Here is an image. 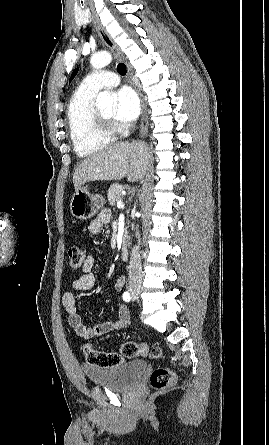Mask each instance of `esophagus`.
Here are the masks:
<instances>
[{
  "mask_svg": "<svg viewBox=\"0 0 269 445\" xmlns=\"http://www.w3.org/2000/svg\"><path fill=\"white\" fill-rule=\"evenodd\" d=\"M93 24H94V27L97 30L98 34L104 41V43L109 47V49L114 53V55L120 61H123L125 63L126 68H127L128 78H129L131 84L135 87V89L137 90V92L139 94V97L141 99V121H140L139 135L141 138H143L148 130L147 108H146V104H145L140 86L134 81L132 67H131L130 63L128 62L127 58L125 57V55L123 54V52L120 50L119 46L110 37V35L103 28V26L100 24V22L97 19H93Z\"/></svg>",
  "mask_w": 269,
  "mask_h": 445,
  "instance_id": "obj_1",
  "label": "esophagus"
}]
</instances>
